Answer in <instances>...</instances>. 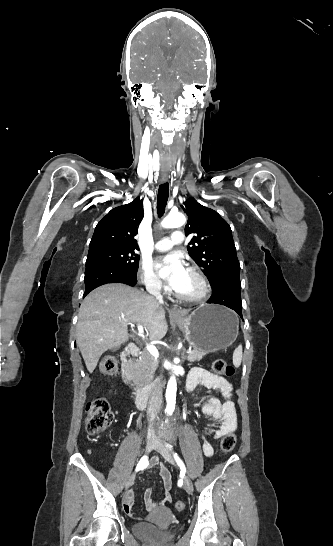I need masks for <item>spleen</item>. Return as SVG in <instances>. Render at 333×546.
<instances>
[{
    "label": "spleen",
    "mask_w": 333,
    "mask_h": 546,
    "mask_svg": "<svg viewBox=\"0 0 333 546\" xmlns=\"http://www.w3.org/2000/svg\"><path fill=\"white\" fill-rule=\"evenodd\" d=\"M242 361V346L239 345L233 352V365L239 367Z\"/></svg>",
    "instance_id": "3e777b00"
}]
</instances>
